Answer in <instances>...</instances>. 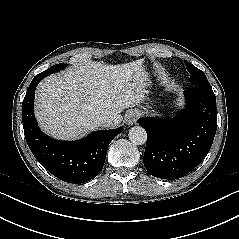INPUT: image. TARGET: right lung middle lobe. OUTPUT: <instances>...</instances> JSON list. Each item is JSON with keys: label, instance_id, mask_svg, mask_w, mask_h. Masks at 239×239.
<instances>
[{"label": "right lung middle lobe", "instance_id": "obj_1", "mask_svg": "<svg viewBox=\"0 0 239 239\" xmlns=\"http://www.w3.org/2000/svg\"><path fill=\"white\" fill-rule=\"evenodd\" d=\"M68 64H57V65H53L52 67H50L49 69H47L46 71H44L45 73H47L48 75L49 74H52L56 71H59L65 67H67Z\"/></svg>", "mask_w": 239, "mask_h": 239}]
</instances>
